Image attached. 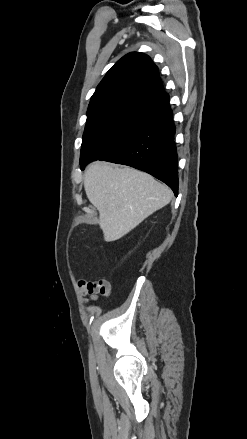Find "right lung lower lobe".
I'll return each instance as SVG.
<instances>
[{"instance_id": "98d812e1", "label": "right lung lower lobe", "mask_w": 247, "mask_h": 439, "mask_svg": "<svg viewBox=\"0 0 247 439\" xmlns=\"http://www.w3.org/2000/svg\"><path fill=\"white\" fill-rule=\"evenodd\" d=\"M175 126L168 105L161 108L124 142L99 160L128 165L166 183L178 195V160L173 141ZM85 168L81 167L83 170Z\"/></svg>"}]
</instances>
